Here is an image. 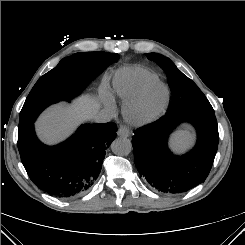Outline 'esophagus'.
Wrapping results in <instances>:
<instances>
[{
  "label": "esophagus",
  "instance_id": "1",
  "mask_svg": "<svg viewBox=\"0 0 245 245\" xmlns=\"http://www.w3.org/2000/svg\"><path fill=\"white\" fill-rule=\"evenodd\" d=\"M117 135L120 137H129L130 136V130L126 126H120Z\"/></svg>",
  "mask_w": 245,
  "mask_h": 245
}]
</instances>
